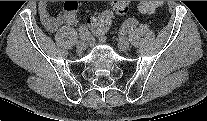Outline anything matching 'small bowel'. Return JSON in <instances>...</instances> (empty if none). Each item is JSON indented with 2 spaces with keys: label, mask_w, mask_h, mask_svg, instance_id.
<instances>
[{
  "label": "small bowel",
  "mask_w": 207,
  "mask_h": 121,
  "mask_svg": "<svg viewBox=\"0 0 207 121\" xmlns=\"http://www.w3.org/2000/svg\"><path fill=\"white\" fill-rule=\"evenodd\" d=\"M49 2L40 1L38 5V11L41 23L45 29L51 33L55 32L59 27L72 26L77 22V1H66L64 3L63 11L57 16H52L49 12ZM80 29V28H79Z\"/></svg>",
  "instance_id": "obj_1"
}]
</instances>
